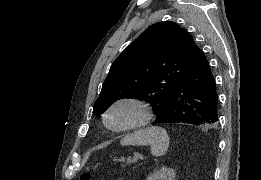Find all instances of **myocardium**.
<instances>
[{"mask_svg":"<svg viewBox=\"0 0 261 180\" xmlns=\"http://www.w3.org/2000/svg\"><path fill=\"white\" fill-rule=\"evenodd\" d=\"M130 106L135 110L134 117L122 125H114L112 115L116 109ZM150 118L149 104L136 96H123L114 100L105 110L104 122L109 130L114 133H126L137 130L147 124Z\"/></svg>","mask_w":261,"mask_h":180,"instance_id":"1","label":"myocardium"}]
</instances>
